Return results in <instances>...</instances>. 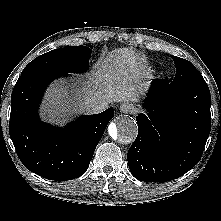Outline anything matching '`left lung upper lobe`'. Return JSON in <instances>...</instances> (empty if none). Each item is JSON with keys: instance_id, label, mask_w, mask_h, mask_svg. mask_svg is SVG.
I'll use <instances>...</instances> for the list:
<instances>
[{"instance_id": "left-lung-upper-lobe-1", "label": "left lung upper lobe", "mask_w": 221, "mask_h": 221, "mask_svg": "<svg viewBox=\"0 0 221 221\" xmlns=\"http://www.w3.org/2000/svg\"><path fill=\"white\" fill-rule=\"evenodd\" d=\"M176 65V75L170 86L179 87L183 85L206 83L202 75L188 60L171 55Z\"/></svg>"}]
</instances>
